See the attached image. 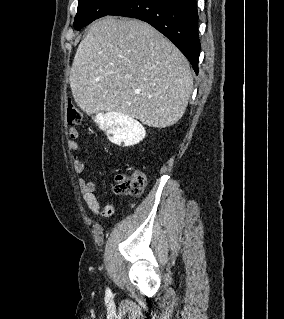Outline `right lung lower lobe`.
I'll return each instance as SVG.
<instances>
[{
  "mask_svg": "<svg viewBox=\"0 0 284 319\" xmlns=\"http://www.w3.org/2000/svg\"><path fill=\"white\" fill-rule=\"evenodd\" d=\"M109 15L149 23L179 48L198 74L200 40L196 0H130Z\"/></svg>",
  "mask_w": 284,
  "mask_h": 319,
  "instance_id": "98d812e1",
  "label": "right lung lower lobe"
}]
</instances>
